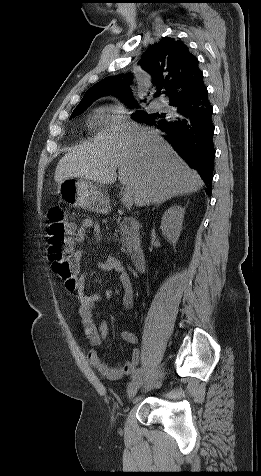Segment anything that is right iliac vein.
I'll use <instances>...</instances> for the list:
<instances>
[{"instance_id":"obj_1","label":"right iliac vein","mask_w":261,"mask_h":476,"mask_svg":"<svg viewBox=\"0 0 261 476\" xmlns=\"http://www.w3.org/2000/svg\"><path fill=\"white\" fill-rule=\"evenodd\" d=\"M142 383H143L142 375H138L129 383L128 389H127V395L129 399H132L136 395Z\"/></svg>"}]
</instances>
